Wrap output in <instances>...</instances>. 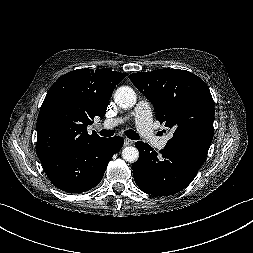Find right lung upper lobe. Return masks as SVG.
Instances as JSON below:
<instances>
[{"instance_id": "right-lung-upper-lobe-1", "label": "right lung upper lobe", "mask_w": 253, "mask_h": 253, "mask_svg": "<svg viewBox=\"0 0 253 253\" xmlns=\"http://www.w3.org/2000/svg\"><path fill=\"white\" fill-rule=\"evenodd\" d=\"M125 76L108 69H77L57 79L37 119L38 158L102 139L86 128L95 116L104 117L114 88Z\"/></svg>"}]
</instances>
